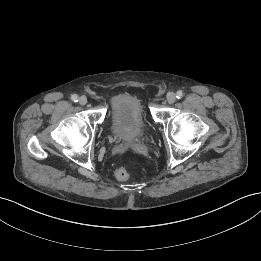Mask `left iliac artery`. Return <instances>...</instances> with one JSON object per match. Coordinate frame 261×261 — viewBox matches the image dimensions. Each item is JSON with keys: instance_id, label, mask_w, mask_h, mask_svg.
Segmentation results:
<instances>
[{"instance_id": "left-iliac-artery-1", "label": "left iliac artery", "mask_w": 261, "mask_h": 261, "mask_svg": "<svg viewBox=\"0 0 261 261\" xmlns=\"http://www.w3.org/2000/svg\"><path fill=\"white\" fill-rule=\"evenodd\" d=\"M176 97H177L178 99L182 98V97H183V92H182V91H177Z\"/></svg>"}]
</instances>
